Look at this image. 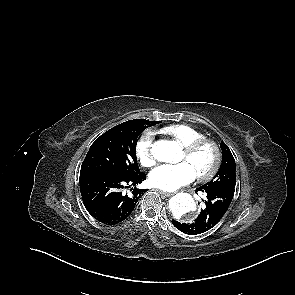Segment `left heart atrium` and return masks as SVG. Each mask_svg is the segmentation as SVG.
<instances>
[{"mask_svg":"<svg viewBox=\"0 0 295 295\" xmlns=\"http://www.w3.org/2000/svg\"><path fill=\"white\" fill-rule=\"evenodd\" d=\"M196 173L187 162L164 164L155 168L149 175L150 183L157 188L173 191L191 183Z\"/></svg>","mask_w":295,"mask_h":295,"instance_id":"1","label":"left heart atrium"}]
</instances>
